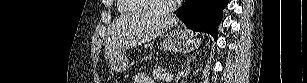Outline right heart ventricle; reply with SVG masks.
<instances>
[{"mask_svg": "<svg viewBox=\"0 0 307 83\" xmlns=\"http://www.w3.org/2000/svg\"><path fill=\"white\" fill-rule=\"evenodd\" d=\"M118 10L122 14H138L149 11L147 0H119Z\"/></svg>", "mask_w": 307, "mask_h": 83, "instance_id": "right-heart-ventricle-1", "label": "right heart ventricle"}]
</instances>
